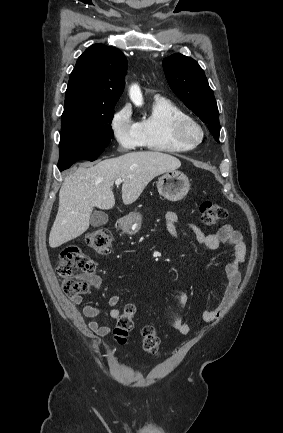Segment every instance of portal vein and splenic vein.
Here are the masks:
<instances>
[{
  "mask_svg": "<svg viewBox=\"0 0 283 433\" xmlns=\"http://www.w3.org/2000/svg\"><path fill=\"white\" fill-rule=\"evenodd\" d=\"M121 182H123V178H116L115 184H117V186L118 184H121Z\"/></svg>",
  "mask_w": 283,
  "mask_h": 433,
  "instance_id": "18ae733b",
  "label": "portal vein and splenic vein"
}]
</instances>
